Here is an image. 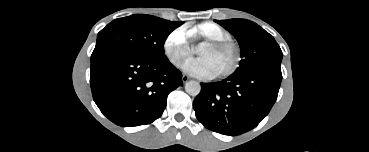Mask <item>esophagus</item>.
<instances>
[{
    "label": "esophagus",
    "instance_id": "34e87169",
    "mask_svg": "<svg viewBox=\"0 0 369 152\" xmlns=\"http://www.w3.org/2000/svg\"><path fill=\"white\" fill-rule=\"evenodd\" d=\"M189 80V77L187 75L182 76L183 83H186Z\"/></svg>",
    "mask_w": 369,
    "mask_h": 152
}]
</instances>
